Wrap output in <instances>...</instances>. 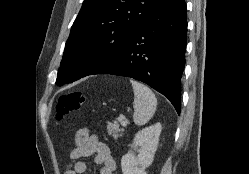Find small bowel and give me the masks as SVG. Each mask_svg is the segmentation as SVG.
<instances>
[{
    "instance_id": "c3829d8e",
    "label": "small bowel",
    "mask_w": 249,
    "mask_h": 174,
    "mask_svg": "<svg viewBox=\"0 0 249 174\" xmlns=\"http://www.w3.org/2000/svg\"><path fill=\"white\" fill-rule=\"evenodd\" d=\"M75 148L70 152L72 163L65 174H83L87 171L88 165L81 158L93 156V164L99 168L100 174H115L117 171L116 162L111 154L110 147L102 142L96 134L84 127L75 133Z\"/></svg>"
}]
</instances>
